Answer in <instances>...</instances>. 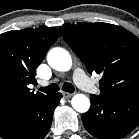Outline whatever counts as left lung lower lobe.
Here are the masks:
<instances>
[{"instance_id": "left-lung-lower-lobe-1", "label": "left lung lower lobe", "mask_w": 139, "mask_h": 139, "mask_svg": "<svg viewBox=\"0 0 139 139\" xmlns=\"http://www.w3.org/2000/svg\"><path fill=\"white\" fill-rule=\"evenodd\" d=\"M91 107L82 115L86 130L99 139H120L139 123V93L113 100L91 95Z\"/></svg>"}]
</instances>
